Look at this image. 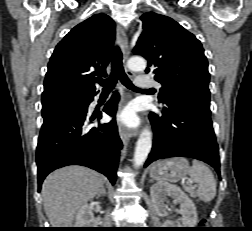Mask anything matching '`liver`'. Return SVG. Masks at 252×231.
Wrapping results in <instances>:
<instances>
[{
	"label": "liver",
	"instance_id": "1",
	"mask_svg": "<svg viewBox=\"0 0 252 231\" xmlns=\"http://www.w3.org/2000/svg\"><path fill=\"white\" fill-rule=\"evenodd\" d=\"M103 180L82 166H68L49 174L42 185L45 213L53 228H70L76 211L97 196Z\"/></svg>",
	"mask_w": 252,
	"mask_h": 231
}]
</instances>
